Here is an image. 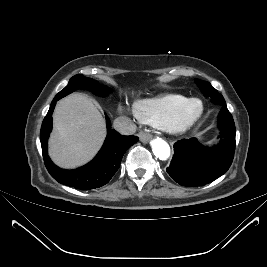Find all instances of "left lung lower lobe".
Wrapping results in <instances>:
<instances>
[{
  "mask_svg": "<svg viewBox=\"0 0 267 267\" xmlns=\"http://www.w3.org/2000/svg\"><path fill=\"white\" fill-rule=\"evenodd\" d=\"M218 127L221 143L205 148L195 138L174 144V155L166 169L170 177L182 186H202L223 175L230 167L235 152V124L226 106H222Z\"/></svg>",
  "mask_w": 267,
  "mask_h": 267,
  "instance_id": "left-lung-lower-lobe-1",
  "label": "left lung lower lobe"
}]
</instances>
